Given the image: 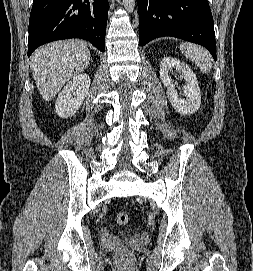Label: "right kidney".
Masks as SVG:
<instances>
[{"mask_svg":"<svg viewBox=\"0 0 253 271\" xmlns=\"http://www.w3.org/2000/svg\"><path fill=\"white\" fill-rule=\"evenodd\" d=\"M90 83L87 74H80L66 84L55 103V111L59 117L68 118L77 112L88 94Z\"/></svg>","mask_w":253,"mask_h":271,"instance_id":"1","label":"right kidney"}]
</instances>
